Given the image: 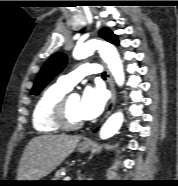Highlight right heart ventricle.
Returning a JSON list of instances; mask_svg holds the SVG:
<instances>
[{
  "instance_id": "right-heart-ventricle-1",
  "label": "right heart ventricle",
  "mask_w": 178,
  "mask_h": 186,
  "mask_svg": "<svg viewBox=\"0 0 178 186\" xmlns=\"http://www.w3.org/2000/svg\"><path fill=\"white\" fill-rule=\"evenodd\" d=\"M67 92L68 90L57 83L47 88L37 99L32 112V124L37 132L54 134L60 130L52 120V110L55 103Z\"/></svg>"
}]
</instances>
